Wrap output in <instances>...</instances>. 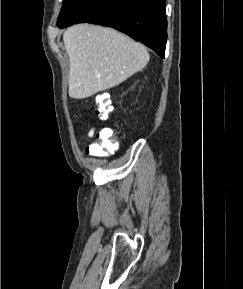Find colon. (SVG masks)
Masks as SVG:
<instances>
[{
  "mask_svg": "<svg viewBox=\"0 0 243 289\" xmlns=\"http://www.w3.org/2000/svg\"><path fill=\"white\" fill-rule=\"evenodd\" d=\"M93 109L100 119L106 120L113 110L108 95L98 94ZM117 146L118 142L114 130L104 128L97 134L96 139L87 146L86 151L90 155L104 156L115 151Z\"/></svg>",
  "mask_w": 243,
  "mask_h": 289,
  "instance_id": "1",
  "label": "colon"
}]
</instances>
